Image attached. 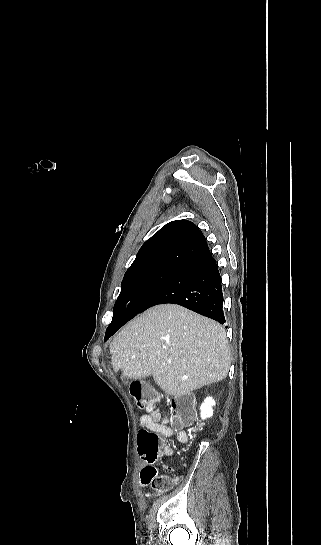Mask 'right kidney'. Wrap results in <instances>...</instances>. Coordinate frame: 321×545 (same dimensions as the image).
I'll return each mask as SVG.
<instances>
[{
  "instance_id": "right-kidney-1",
  "label": "right kidney",
  "mask_w": 321,
  "mask_h": 545,
  "mask_svg": "<svg viewBox=\"0 0 321 545\" xmlns=\"http://www.w3.org/2000/svg\"><path fill=\"white\" fill-rule=\"evenodd\" d=\"M214 405H215V401L213 397H206L204 403H202L200 407L201 419H209V417H213L212 407H214Z\"/></svg>"
}]
</instances>
